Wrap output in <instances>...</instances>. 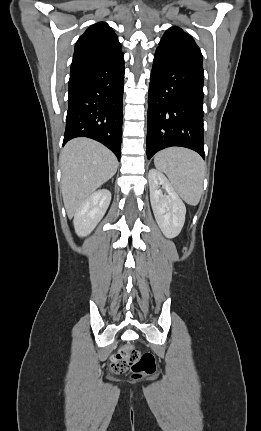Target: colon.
<instances>
[{
	"label": "colon",
	"mask_w": 261,
	"mask_h": 431,
	"mask_svg": "<svg viewBox=\"0 0 261 431\" xmlns=\"http://www.w3.org/2000/svg\"><path fill=\"white\" fill-rule=\"evenodd\" d=\"M110 366L116 373L129 371L134 379L151 375L156 370L155 358L152 353H140L130 345L120 348L112 355Z\"/></svg>",
	"instance_id": "obj_1"
}]
</instances>
